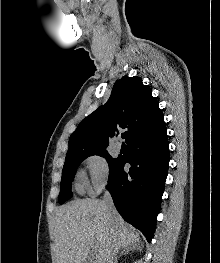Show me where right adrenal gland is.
I'll return each instance as SVG.
<instances>
[{"label":"right adrenal gland","mask_w":220,"mask_h":263,"mask_svg":"<svg viewBox=\"0 0 220 263\" xmlns=\"http://www.w3.org/2000/svg\"><path fill=\"white\" fill-rule=\"evenodd\" d=\"M132 247L135 248L134 245H133V246H129V247L124 248V249L120 252V254H119L118 257H121L122 255H125V254H128L129 251L132 249Z\"/></svg>","instance_id":"1"}]
</instances>
